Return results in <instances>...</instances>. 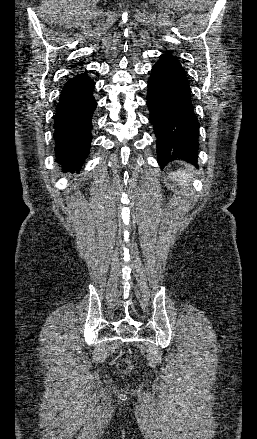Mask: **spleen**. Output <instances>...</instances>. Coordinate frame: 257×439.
I'll list each match as a JSON object with an SVG mask.
<instances>
[{"mask_svg":"<svg viewBox=\"0 0 257 439\" xmlns=\"http://www.w3.org/2000/svg\"><path fill=\"white\" fill-rule=\"evenodd\" d=\"M171 179L173 181H178L179 184L184 185V186H188L190 184V181L193 177V173L191 170H183V171H177L173 174H171Z\"/></svg>","mask_w":257,"mask_h":439,"instance_id":"3e777b00","label":"spleen"}]
</instances>
